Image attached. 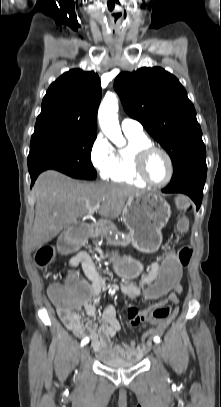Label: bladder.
<instances>
[{"mask_svg":"<svg viewBox=\"0 0 221 407\" xmlns=\"http://www.w3.org/2000/svg\"><path fill=\"white\" fill-rule=\"evenodd\" d=\"M97 358L102 365L113 369L131 368L140 363V359L124 360L119 358H108L100 354L97 356Z\"/></svg>","mask_w":221,"mask_h":407,"instance_id":"1","label":"bladder"}]
</instances>
